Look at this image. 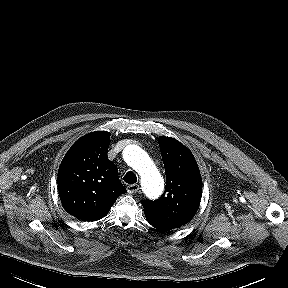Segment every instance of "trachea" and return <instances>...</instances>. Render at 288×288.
<instances>
[{"label":"trachea","mask_w":288,"mask_h":288,"mask_svg":"<svg viewBox=\"0 0 288 288\" xmlns=\"http://www.w3.org/2000/svg\"><path fill=\"white\" fill-rule=\"evenodd\" d=\"M123 180L128 184H133L137 182V177L134 172L128 171L123 177Z\"/></svg>","instance_id":"obj_1"}]
</instances>
